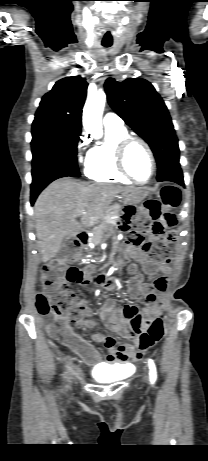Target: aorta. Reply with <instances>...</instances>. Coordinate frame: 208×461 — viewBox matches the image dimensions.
<instances>
[{"instance_id":"762f6f07","label":"aorta","mask_w":208,"mask_h":461,"mask_svg":"<svg viewBox=\"0 0 208 461\" xmlns=\"http://www.w3.org/2000/svg\"><path fill=\"white\" fill-rule=\"evenodd\" d=\"M106 103V95L103 91H90L83 108V127L94 138L103 135L102 114Z\"/></svg>"}]
</instances>
